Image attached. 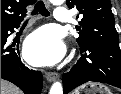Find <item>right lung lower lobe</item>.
I'll return each instance as SVG.
<instances>
[{
  "label": "right lung lower lobe",
  "instance_id": "1",
  "mask_svg": "<svg viewBox=\"0 0 121 94\" xmlns=\"http://www.w3.org/2000/svg\"><path fill=\"white\" fill-rule=\"evenodd\" d=\"M22 20L1 26V78L17 85L25 94H40L42 74L29 70L21 62L12 45L8 46V32H14Z\"/></svg>",
  "mask_w": 121,
  "mask_h": 94
}]
</instances>
